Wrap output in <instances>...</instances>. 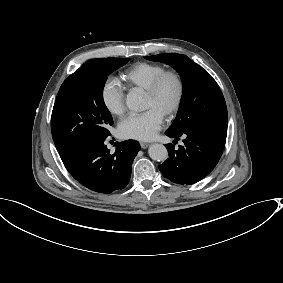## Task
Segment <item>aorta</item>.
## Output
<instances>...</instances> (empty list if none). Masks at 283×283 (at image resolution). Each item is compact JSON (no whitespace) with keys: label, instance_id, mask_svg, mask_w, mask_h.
Returning <instances> with one entry per match:
<instances>
[{"label":"aorta","instance_id":"1","mask_svg":"<svg viewBox=\"0 0 283 283\" xmlns=\"http://www.w3.org/2000/svg\"><path fill=\"white\" fill-rule=\"evenodd\" d=\"M126 105L130 110L142 111L144 110V102L142 97L135 93L130 92L126 97ZM148 154L151 159L155 161H164L168 157V151L162 144H153L148 149Z\"/></svg>","mask_w":283,"mask_h":283}]
</instances>
